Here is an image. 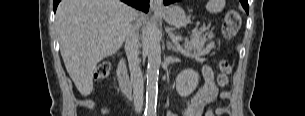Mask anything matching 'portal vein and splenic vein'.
Wrapping results in <instances>:
<instances>
[{"mask_svg": "<svg viewBox=\"0 0 305 116\" xmlns=\"http://www.w3.org/2000/svg\"><path fill=\"white\" fill-rule=\"evenodd\" d=\"M198 33H199L198 31H195V32H194V35H197ZM175 39H178V38H177L176 36L173 35V40L175 41Z\"/></svg>", "mask_w": 305, "mask_h": 116, "instance_id": "1", "label": "portal vein and splenic vein"}]
</instances>
